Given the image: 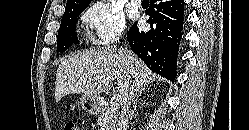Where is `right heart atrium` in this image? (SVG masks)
<instances>
[{
  "mask_svg": "<svg viewBox=\"0 0 249 130\" xmlns=\"http://www.w3.org/2000/svg\"><path fill=\"white\" fill-rule=\"evenodd\" d=\"M82 20L90 30L93 42L109 45L122 37L126 30L123 13L107 2H95L82 15Z\"/></svg>",
  "mask_w": 249,
  "mask_h": 130,
  "instance_id": "d8ad5b80",
  "label": "right heart atrium"
}]
</instances>
